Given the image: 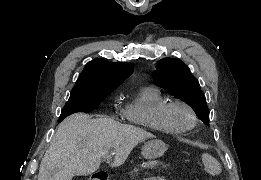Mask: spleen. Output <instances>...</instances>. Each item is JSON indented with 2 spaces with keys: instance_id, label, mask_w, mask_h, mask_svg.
Returning <instances> with one entry per match:
<instances>
[{
  "instance_id": "3e777b00",
  "label": "spleen",
  "mask_w": 261,
  "mask_h": 180,
  "mask_svg": "<svg viewBox=\"0 0 261 180\" xmlns=\"http://www.w3.org/2000/svg\"><path fill=\"white\" fill-rule=\"evenodd\" d=\"M202 158L205 164V170L208 172V174H212V176L221 174L220 164H218L217 160H214V158L209 156V154H203Z\"/></svg>"
}]
</instances>
